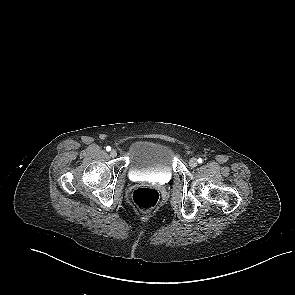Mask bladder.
I'll use <instances>...</instances> for the list:
<instances>
[{
  "label": "bladder",
  "instance_id": "1",
  "mask_svg": "<svg viewBox=\"0 0 295 295\" xmlns=\"http://www.w3.org/2000/svg\"><path fill=\"white\" fill-rule=\"evenodd\" d=\"M175 152L159 140L136 141L130 150L129 173L169 181L173 175Z\"/></svg>",
  "mask_w": 295,
  "mask_h": 295
}]
</instances>
